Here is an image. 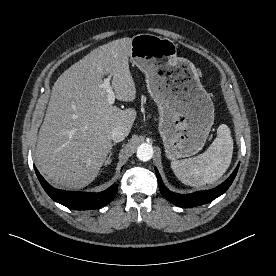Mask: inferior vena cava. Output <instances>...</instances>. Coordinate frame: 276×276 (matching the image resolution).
<instances>
[{
	"label": "inferior vena cava",
	"mask_w": 276,
	"mask_h": 276,
	"mask_svg": "<svg viewBox=\"0 0 276 276\" xmlns=\"http://www.w3.org/2000/svg\"><path fill=\"white\" fill-rule=\"evenodd\" d=\"M126 136H127V134H126L124 128L121 126L115 127L111 132V139L114 142H121L125 139Z\"/></svg>",
	"instance_id": "inferior-vena-cava-1"
}]
</instances>
